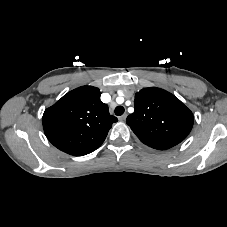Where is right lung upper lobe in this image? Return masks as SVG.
Returning a JSON list of instances; mask_svg holds the SVG:
<instances>
[{
	"label": "right lung upper lobe",
	"instance_id": "right-lung-upper-lobe-1",
	"mask_svg": "<svg viewBox=\"0 0 227 227\" xmlns=\"http://www.w3.org/2000/svg\"><path fill=\"white\" fill-rule=\"evenodd\" d=\"M97 87L76 88L43 114V128L48 140L59 150L83 156L99 148L117 118L109 114L100 100Z\"/></svg>",
	"mask_w": 227,
	"mask_h": 227
}]
</instances>
